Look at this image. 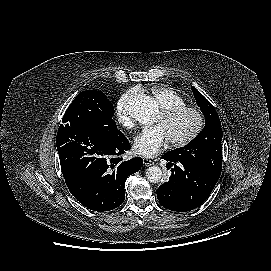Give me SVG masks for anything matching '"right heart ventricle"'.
<instances>
[{"label":"right heart ventricle","mask_w":271,"mask_h":271,"mask_svg":"<svg viewBox=\"0 0 271 271\" xmlns=\"http://www.w3.org/2000/svg\"><path fill=\"white\" fill-rule=\"evenodd\" d=\"M151 94L161 110L186 104L185 99L171 88L162 86L153 87L151 89Z\"/></svg>","instance_id":"right-heart-ventricle-1"}]
</instances>
